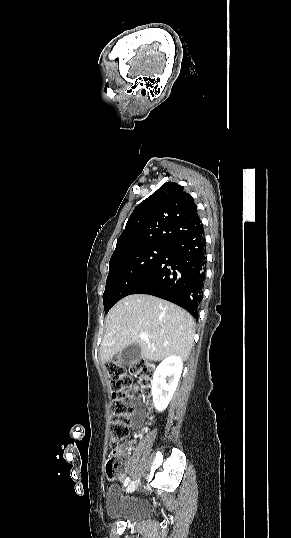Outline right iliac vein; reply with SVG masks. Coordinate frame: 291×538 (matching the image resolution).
Segmentation results:
<instances>
[{"label":"right iliac vein","instance_id":"63e3f726","mask_svg":"<svg viewBox=\"0 0 291 538\" xmlns=\"http://www.w3.org/2000/svg\"><path fill=\"white\" fill-rule=\"evenodd\" d=\"M139 484V479H136L134 481H132L129 486L127 487V492L128 493H132L133 491H135V489L137 488Z\"/></svg>","mask_w":291,"mask_h":538}]
</instances>
